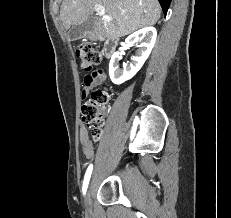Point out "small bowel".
I'll return each mask as SVG.
<instances>
[{
  "mask_svg": "<svg viewBox=\"0 0 231 218\" xmlns=\"http://www.w3.org/2000/svg\"><path fill=\"white\" fill-rule=\"evenodd\" d=\"M90 75H86L84 78V84L82 89V97L85 98L88 92L104 83L107 79V75L104 71L99 69H90ZM79 142L84 156L89 159L94 154V144L89 138L88 130L85 125L80 124L79 126Z\"/></svg>",
  "mask_w": 231,
  "mask_h": 218,
  "instance_id": "1",
  "label": "small bowel"
}]
</instances>
